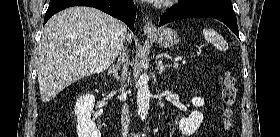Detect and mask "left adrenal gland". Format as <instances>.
<instances>
[{
	"label": "left adrenal gland",
	"instance_id": "a2214340",
	"mask_svg": "<svg viewBox=\"0 0 280 137\" xmlns=\"http://www.w3.org/2000/svg\"><path fill=\"white\" fill-rule=\"evenodd\" d=\"M158 61H157V69L159 74H162L163 71L167 68V67H172V64H164L163 63V59L161 56L157 57ZM174 67V66H173Z\"/></svg>",
	"mask_w": 280,
	"mask_h": 137
}]
</instances>
